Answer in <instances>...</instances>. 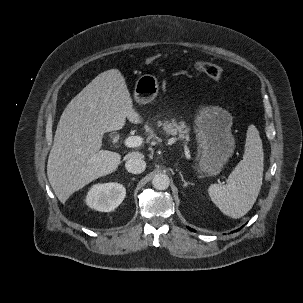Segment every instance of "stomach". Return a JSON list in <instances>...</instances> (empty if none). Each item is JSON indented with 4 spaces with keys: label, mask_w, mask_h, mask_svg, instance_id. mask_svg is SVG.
Here are the masks:
<instances>
[{
    "label": "stomach",
    "mask_w": 303,
    "mask_h": 303,
    "mask_svg": "<svg viewBox=\"0 0 303 303\" xmlns=\"http://www.w3.org/2000/svg\"><path fill=\"white\" fill-rule=\"evenodd\" d=\"M159 91L154 75L145 74L135 83L134 98L139 104L154 100ZM231 114L218 107H202L195 118V132L198 144V169L208 176L220 173L235 149L231 133Z\"/></svg>",
    "instance_id": "0dacf381"
}]
</instances>
